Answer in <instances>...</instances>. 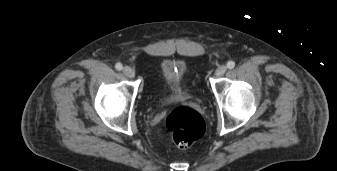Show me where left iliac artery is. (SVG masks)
I'll return each instance as SVG.
<instances>
[{
  "label": "left iliac artery",
  "instance_id": "44dca946",
  "mask_svg": "<svg viewBox=\"0 0 337 171\" xmlns=\"http://www.w3.org/2000/svg\"><path fill=\"white\" fill-rule=\"evenodd\" d=\"M235 67V62L234 61H229L228 63H227V68L228 69H233Z\"/></svg>",
  "mask_w": 337,
  "mask_h": 171
}]
</instances>
